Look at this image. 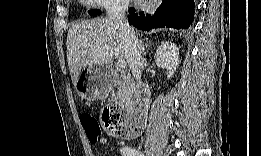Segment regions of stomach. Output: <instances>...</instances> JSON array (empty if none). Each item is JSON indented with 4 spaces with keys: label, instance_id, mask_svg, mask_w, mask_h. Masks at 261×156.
Segmentation results:
<instances>
[{
    "label": "stomach",
    "instance_id": "1",
    "mask_svg": "<svg viewBox=\"0 0 261 156\" xmlns=\"http://www.w3.org/2000/svg\"><path fill=\"white\" fill-rule=\"evenodd\" d=\"M84 74V77L80 75L75 84L78 95L82 99L91 102L109 92L112 78L107 65L90 66L84 71Z\"/></svg>",
    "mask_w": 261,
    "mask_h": 156
}]
</instances>
